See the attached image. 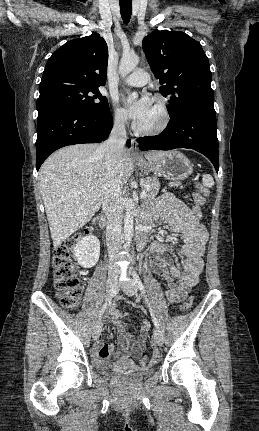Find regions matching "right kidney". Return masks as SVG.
<instances>
[{
	"label": "right kidney",
	"mask_w": 259,
	"mask_h": 431,
	"mask_svg": "<svg viewBox=\"0 0 259 431\" xmlns=\"http://www.w3.org/2000/svg\"><path fill=\"white\" fill-rule=\"evenodd\" d=\"M100 242L95 236L81 238L74 246V257L84 268L95 266L99 260Z\"/></svg>",
	"instance_id": "obj_1"
}]
</instances>
